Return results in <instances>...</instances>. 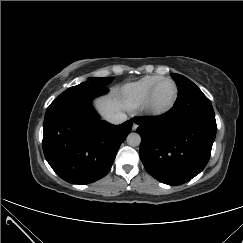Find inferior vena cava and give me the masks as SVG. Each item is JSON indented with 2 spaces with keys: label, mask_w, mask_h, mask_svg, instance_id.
I'll return each mask as SVG.
<instances>
[{
  "label": "inferior vena cava",
  "mask_w": 243,
  "mask_h": 243,
  "mask_svg": "<svg viewBox=\"0 0 243 243\" xmlns=\"http://www.w3.org/2000/svg\"><path fill=\"white\" fill-rule=\"evenodd\" d=\"M105 118L112 124H121L127 120V115L123 112H115L108 114Z\"/></svg>",
  "instance_id": "obj_1"
}]
</instances>
